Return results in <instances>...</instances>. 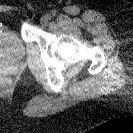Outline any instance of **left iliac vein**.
Here are the masks:
<instances>
[{
	"instance_id": "4c4485c4",
	"label": "left iliac vein",
	"mask_w": 133,
	"mask_h": 133,
	"mask_svg": "<svg viewBox=\"0 0 133 133\" xmlns=\"http://www.w3.org/2000/svg\"><path fill=\"white\" fill-rule=\"evenodd\" d=\"M50 15H45V16H43L41 19H40V23L42 24V25H46L47 23H48V21L50 20Z\"/></svg>"
}]
</instances>
